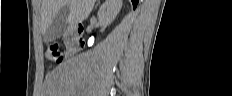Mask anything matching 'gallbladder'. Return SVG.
<instances>
[{"label": "gallbladder", "instance_id": "1", "mask_svg": "<svg viewBox=\"0 0 232 96\" xmlns=\"http://www.w3.org/2000/svg\"><path fill=\"white\" fill-rule=\"evenodd\" d=\"M69 6H63L60 11L56 14L54 20L52 21L50 27L48 28L44 41L46 43L51 42L59 38L65 31L67 25V18L69 15Z\"/></svg>", "mask_w": 232, "mask_h": 96}]
</instances>
